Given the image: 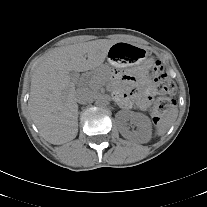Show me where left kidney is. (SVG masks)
<instances>
[{
	"instance_id": "5707ae66",
	"label": "left kidney",
	"mask_w": 207,
	"mask_h": 207,
	"mask_svg": "<svg viewBox=\"0 0 207 207\" xmlns=\"http://www.w3.org/2000/svg\"><path fill=\"white\" fill-rule=\"evenodd\" d=\"M116 118L121 120L120 133L124 138H131L133 136L140 138L144 141H148L151 138V122L150 119L141 114L132 111H119L116 114ZM130 121L137 127L135 135L128 130L125 126V122Z\"/></svg>"
}]
</instances>
